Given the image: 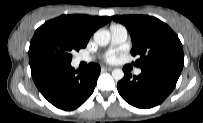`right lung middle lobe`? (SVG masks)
<instances>
[{
	"label": "right lung middle lobe",
	"mask_w": 203,
	"mask_h": 123,
	"mask_svg": "<svg viewBox=\"0 0 203 123\" xmlns=\"http://www.w3.org/2000/svg\"><path fill=\"white\" fill-rule=\"evenodd\" d=\"M86 47L69 29L46 22L40 26L29 47L30 64L36 61L71 63L72 53Z\"/></svg>",
	"instance_id": "obj_1"
}]
</instances>
